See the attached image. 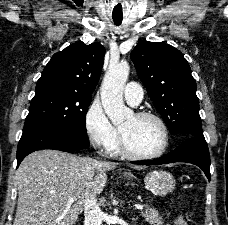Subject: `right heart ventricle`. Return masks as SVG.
I'll list each match as a JSON object with an SVG mask.
<instances>
[{
	"instance_id": "obj_1",
	"label": "right heart ventricle",
	"mask_w": 228,
	"mask_h": 225,
	"mask_svg": "<svg viewBox=\"0 0 228 225\" xmlns=\"http://www.w3.org/2000/svg\"><path fill=\"white\" fill-rule=\"evenodd\" d=\"M108 152L111 155H117L121 153L119 138L110 147H108Z\"/></svg>"
}]
</instances>
